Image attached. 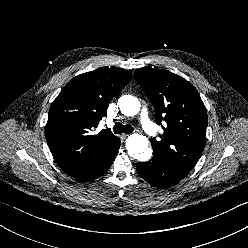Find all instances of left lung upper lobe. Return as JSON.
<instances>
[{
	"label": "left lung upper lobe",
	"instance_id": "obj_1",
	"mask_svg": "<svg viewBox=\"0 0 248 248\" xmlns=\"http://www.w3.org/2000/svg\"><path fill=\"white\" fill-rule=\"evenodd\" d=\"M135 79L154 106L156 123L167 124L160 141L150 139L154 154L188 174L206 142L207 112L199 93L167 70L138 69Z\"/></svg>",
	"mask_w": 248,
	"mask_h": 248
}]
</instances>
